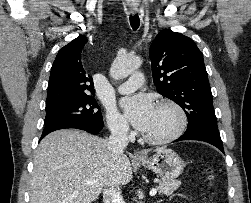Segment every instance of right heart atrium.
I'll list each match as a JSON object with an SVG mask.
<instances>
[{"label": "right heart atrium", "mask_w": 251, "mask_h": 203, "mask_svg": "<svg viewBox=\"0 0 251 203\" xmlns=\"http://www.w3.org/2000/svg\"><path fill=\"white\" fill-rule=\"evenodd\" d=\"M106 118L108 128L113 135L119 137L128 136L130 132L128 123L115 109H109Z\"/></svg>", "instance_id": "obj_1"}]
</instances>
